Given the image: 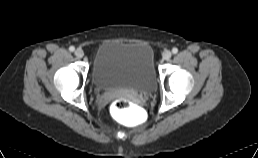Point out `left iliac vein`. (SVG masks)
Segmentation results:
<instances>
[{
    "mask_svg": "<svg viewBox=\"0 0 258 158\" xmlns=\"http://www.w3.org/2000/svg\"><path fill=\"white\" fill-rule=\"evenodd\" d=\"M172 56V53L168 50L164 51L163 54H162V57L164 60H169Z\"/></svg>",
    "mask_w": 258,
    "mask_h": 158,
    "instance_id": "obj_1",
    "label": "left iliac vein"
}]
</instances>
